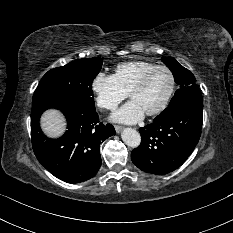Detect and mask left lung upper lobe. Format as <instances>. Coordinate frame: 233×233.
<instances>
[{"mask_svg":"<svg viewBox=\"0 0 233 233\" xmlns=\"http://www.w3.org/2000/svg\"><path fill=\"white\" fill-rule=\"evenodd\" d=\"M162 61L172 71L175 82L179 85L169 106L157 117H166L173 112L175 108L183 104L192 97L201 96L198 86L195 84L194 75L172 57H164Z\"/></svg>","mask_w":233,"mask_h":233,"instance_id":"1","label":"left lung upper lobe"}]
</instances>
